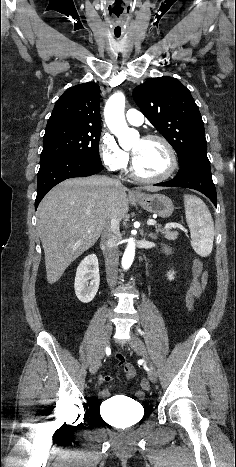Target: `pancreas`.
<instances>
[{"label":"pancreas","mask_w":236,"mask_h":467,"mask_svg":"<svg viewBox=\"0 0 236 467\" xmlns=\"http://www.w3.org/2000/svg\"><path fill=\"white\" fill-rule=\"evenodd\" d=\"M156 231L164 235L167 240H176L178 237V232L170 231L169 228L162 229L160 226L156 227Z\"/></svg>","instance_id":"pancreas-1"}]
</instances>
